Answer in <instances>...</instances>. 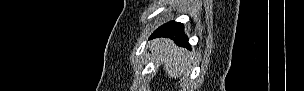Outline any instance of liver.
I'll use <instances>...</instances> for the list:
<instances>
[{
    "label": "liver",
    "instance_id": "liver-1",
    "mask_svg": "<svg viewBox=\"0 0 304 91\" xmlns=\"http://www.w3.org/2000/svg\"><path fill=\"white\" fill-rule=\"evenodd\" d=\"M152 49L155 51L156 61L164 65L169 78H178L191 64V54L178 48L170 39L154 40Z\"/></svg>",
    "mask_w": 304,
    "mask_h": 91
}]
</instances>
